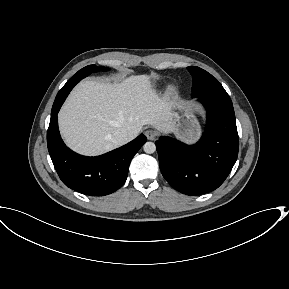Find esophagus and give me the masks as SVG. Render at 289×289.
Returning <instances> with one entry per match:
<instances>
[{
	"label": "esophagus",
	"mask_w": 289,
	"mask_h": 289,
	"mask_svg": "<svg viewBox=\"0 0 289 289\" xmlns=\"http://www.w3.org/2000/svg\"><path fill=\"white\" fill-rule=\"evenodd\" d=\"M145 135H146L148 140H154L156 138V136H157L155 131L150 130V129L145 131Z\"/></svg>",
	"instance_id": "34e87169"
}]
</instances>
